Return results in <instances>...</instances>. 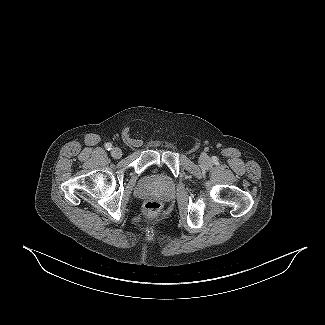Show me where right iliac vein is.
I'll use <instances>...</instances> for the list:
<instances>
[{
  "mask_svg": "<svg viewBox=\"0 0 325 325\" xmlns=\"http://www.w3.org/2000/svg\"><path fill=\"white\" fill-rule=\"evenodd\" d=\"M111 155H112L113 158L118 159V158H120L122 156V151H121L120 148L115 147V148L112 149Z\"/></svg>",
  "mask_w": 325,
  "mask_h": 325,
  "instance_id": "1",
  "label": "right iliac vein"
}]
</instances>
